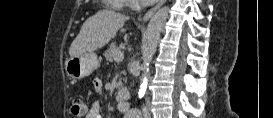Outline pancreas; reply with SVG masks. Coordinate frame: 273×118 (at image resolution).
<instances>
[{
  "label": "pancreas",
  "mask_w": 273,
  "mask_h": 118,
  "mask_svg": "<svg viewBox=\"0 0 273 118\" xmlns=\"http://www.w3.org/2000/svg\"><path fill=\"white\" fill-rule=\"evenodd\" d=\"M116 52H120V49H119V47L116 46L115 43H112L109 46V48L106 50V52L104 53V56H105L106 60L111 62L113 60L114 54ZM121 85H122V83L119 82L118 86H121Z\"/></svg>",
  "instance_id": "cf45deb5"
}]
</instances>
